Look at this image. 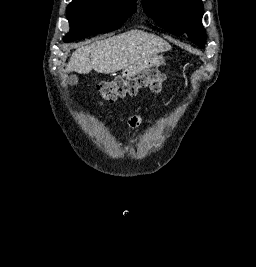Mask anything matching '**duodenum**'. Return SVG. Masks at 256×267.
Segmentation results:
<instances>
[{
  "label": "duodenum",
  "mask_w": 256,
  "mask_h": 267,
  "mask_svg": "<svg viewBox=\"0 0 256 267\" xmlns=\"http://www.w3.org/2000/svg\"><path fill=\"white\" fill-rule=\"evenodd\" d=\"M150 67L141 68L140 66H125L123 70V79H134L136 73H149Z\"/></svg>",
  "instance_id": "410a0bca"
}]
</instances>
